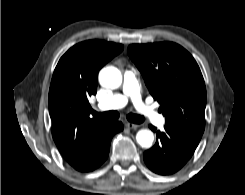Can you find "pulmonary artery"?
Instances as JSON below:
<instances>
[{
  "label": "pulmonary artery",
  "mask_w": 245,
  "mask_h": 195,
  "mask_svg": "<svg viewBox=\"0 0 245 195\" xmlns=\"http://www.w3.org/2000/svg\"><path fill=\"white\" fill-rule=\"evenodd\" d=\"M129 100L145 119L150 120L152 123L158 126L164 125V118L159 115L151 106H148L143 102L134 70H126L124 72L123 93L115 94L112 97L100 102L98 104V108L100 110L122 108Z\"/></svg>",
  "instance_id": "pulmonary-artery-1"
}]
</instances>
